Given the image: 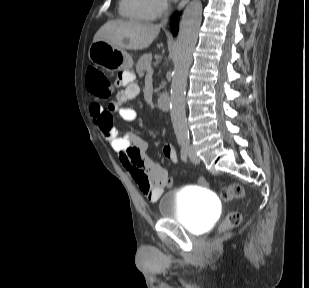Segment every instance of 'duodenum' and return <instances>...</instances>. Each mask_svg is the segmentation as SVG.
Segmentation results:
<instances>
[{
    "mask_svg": "<svg viewBox=\"0 0 309 288\" xmlns=\"http://www.w3.org/2000/svg\"><path fill=\"white\" fill-rule=\"evenodd\" d=\"M171 106V97L168 94H162L157 98V107L162 111H168Z\"/></svg>",
    "mask_w": 309,
    "mask_h": 288,
    "instance_id": "obj_1",
    "label": "duodenum"
}]
</instances>
